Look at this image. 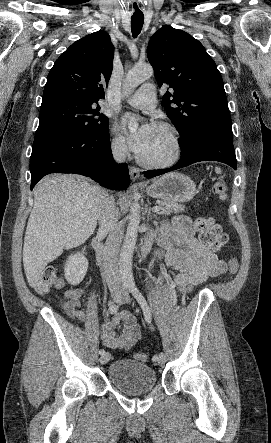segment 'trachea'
<instances>
[{"mask_svg":"<svg viewBox=\"0 0 271 443\" xmlns=\"http://www.w3.org/2000/svg\"><path fill=\"white\" fill-rule=\"evenodd\" d=\"M130 5H133V17H131V29L133 37H137V35L141 32V29L144 24V13L143 10L138 6L139 0H128Z\"/></svg>","mask_w":271,"mask_h":443,"instance_id":"1","label":"trachea"}]
</instances>
